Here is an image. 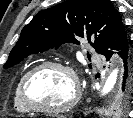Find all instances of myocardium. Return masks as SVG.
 Here are the masks:
<instances>
[{
    "label": "myocardium",
    "instance_id": "obj_1",
    "mask_svg": "<svg viewBox=\"0 0 133 118\" xmlns=\"http://www.w3.org/2000/svg\"><path fill=\"white\" fill-rule=\"evenodd\" d=\"M50 68H56L66 71L70 75L74 87V94L72 99L68 103L57 107H45L37 105L33 102L29 95V84L31 79L39 72ZM20 95L23 103L30 111L45 114H58L67 112L77 105L81 97V86L79 78L72 66L63 62L49 61L33 67L24 75L20 84Z\"/></svg>",
    "mask_w": 133,
    "mask_h": 118
}]
</instances>
